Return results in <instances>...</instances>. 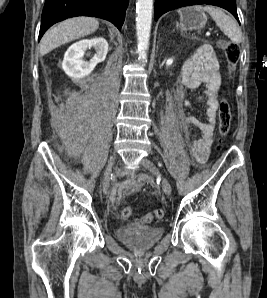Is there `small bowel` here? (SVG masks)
I'll return each mask as SVG.
<instances>
[{"instance_id":"c3829d8e","label":"small bowel","mask_w":267,"mask_h":298,"mask_svg":"<svg viewBox=\"0 0 267 298\" xmlns=\"http://www.w3.org/2000/svg\"><path fill=\"white\" fill-rule=\"evenodd\" d=\"M182 84L188 89H197L205 85V93L202 99L206 103V121L202 122L196 117L183 118V132L191 135V130H196L192 141L193 155L197 162L203 163L209 156L213 141L218 111V91L221 86L219 72V60L209 45L201 46L194 55L189 57L182 67ZM189 106L188 103L185 104ZM142 181H139L138 186Z\"/></svg>"}]
</instances>
